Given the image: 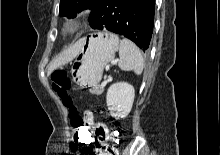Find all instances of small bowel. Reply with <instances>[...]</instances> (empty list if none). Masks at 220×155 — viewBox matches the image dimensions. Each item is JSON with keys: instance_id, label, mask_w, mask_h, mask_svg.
<instances>
[{"instance_id": "small-bowel-1", "label": "small bowel", "mask_w": 220, "mask_h": 155, "mask_svg": "<svg viewBox=\"0 0 220 155\" xmlns=\"http://www.w3.org/2000/svg\"><path fill=\"white\" fill-rule=\"evenodd\" d=\"M84 119H85V123H89V129H91V131H92V135L94 137L93 141H94L95 135H96V130L101 123H96L94 121V116H93L92 112H90V111L85 113ZM89 145H91V144H85L84 146H89Z\"/></svg>"}]
</instances>
